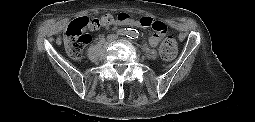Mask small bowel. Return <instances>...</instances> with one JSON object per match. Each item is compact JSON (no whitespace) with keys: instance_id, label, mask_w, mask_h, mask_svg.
Returning <instances> with one entry per match:
<instances>
[{"instance_id":"small-bowel-1","label":"small bowel","mask_w":255,"mask_h":122,"mask_svg":"<svg viewBox=\"0 0 255 122\" xmlns=\"http://www.w3.org/2000/svg\"><path fill=\"white\" fill-rule=\"evenodd\" d=\"M121 25H128V26H134V27H139V24L136 19H130L126 22H119ZM160 41V36L158 34H152L148 38V43L151 47H156L159 44Z\"/></svg>"}]
</instances>
